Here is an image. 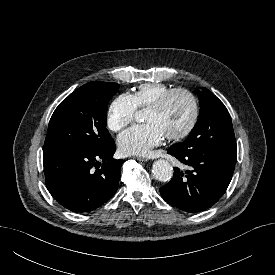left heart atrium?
<instances>
[{"label": "left heart atrium", "instance_id": "1", "mask_svg": "<svg viewBox=\"0 0 275 275\" xmlns=\"http://www.w3.org/2000/svg\"><path fill=\"white\" fill-rule=\"evenodd\" d=\"M164 137L155 124L135 125L119 135L118 146L125 155L141 156L160 145Z\"/></svg>", "mask_w": 275, "mask_h": 275}]
</instances>
